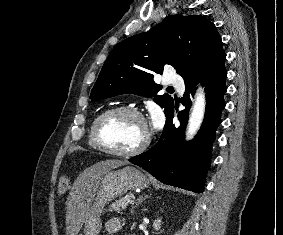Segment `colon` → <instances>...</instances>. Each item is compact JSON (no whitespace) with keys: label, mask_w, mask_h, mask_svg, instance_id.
I'll return each mask as SVG.
<instances>
[{"label":"colon","mask_w":283,"mask_h":235,"mask_svg":"<svg viewBox=\"0 0 283 235\" xmlns=\"http://www.w3.org/2000/svg\"><path fill=\"white\" fill-rule=\"evenodd\" d=\"M70 186V179L67 175H62L59 179L58 183V192L64 193L68 190Z\"/></svg>","instance_id":"5ec220e1"}]
</instances>
